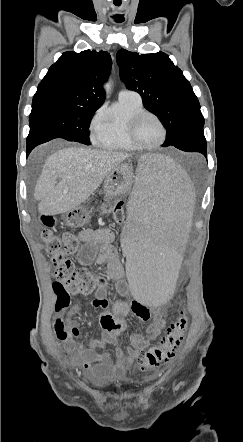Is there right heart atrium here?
I'll list each match as a JSON object with an SVG mask.
<instances>
[{
  "label": "right heart atrium",
  "mask_w": 243,
  "mask_h": 442,
  "mask_svg": "<svg viewBox=\"0 0 243 442\" xmlns=\"http://www.w3.org/2000/svg\"><path fill=\"white\" fill-rule=\"evenodd\" d=\"M103 111L101 109H98L92 116L90 123H89V130L92 138L94 137L95 133L100 129L102 126L103 121Z\"/></svg>",
  "instance_id": "1"
}]
</instances>
